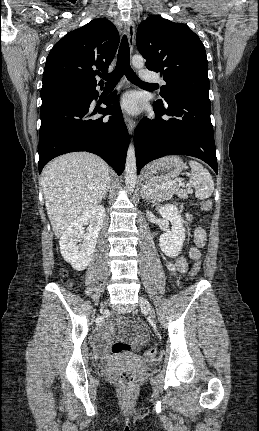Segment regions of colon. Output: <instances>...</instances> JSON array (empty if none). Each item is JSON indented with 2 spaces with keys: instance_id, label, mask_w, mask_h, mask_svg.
I'll list each match as a JSON object with an SVG mask.
<instances>
[{
  "instance_id": "colon-1",
  "label": "colon",
  "mask_w": 259,
  "mask_h": 431,
  "mask_svg": "<svg viewBox=\"0 0 259 431\" xmlns=\"http://www.w3.org/2000/svg\"><path fill=\"white\" fill-rule=\"evenodd\" d=\"M212 207V201L210 199H204L203 201H201L200 206L197 207V212H202V211H209ZM199 263L198 261H194V263L192 264L190 271H189V276L191 279H195V277L198 275L199 273ZM130 350V345L127 343H123V342H116L113 344L112 346V352L114 354H120V353H125L128 352ZM144 356L146 359L148 360H152L155 358L156 356V351L154 348H148L145 352H144ZM136 374L134 372L131 371H127V370H122L118 372V380L120 382L121 385H123L126 388H129L131 386L134 385L135 381H136Z\"/></svg>"
}]
</instances>
